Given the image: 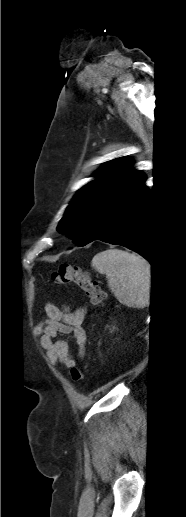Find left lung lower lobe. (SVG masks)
<instances>
[{"instance_id":"1","label":"left lung lower lobe","mask_w":186,"mask_h":517,"mask_svg":"<svg viewBox=\"0 0 186 517\" xmlns=\"http://www.w3.org/2000/svg\"><path fill=\"white\" fill-rule=\"evenodd\" d=\"M143 176L103 216L88 243L101 240L127 247L153 266L154 255L150 247V200Z\"/></svg>"}]
</instances>
